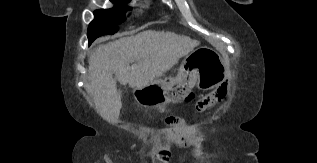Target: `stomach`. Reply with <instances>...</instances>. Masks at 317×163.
Wrapping results in <instances>:
<instances>
[{
  "mask_svg": "<svg viewBox=\"0 0 317 163\" xmlns=\"http://www.w3.org/2000/svg\"><path fill=\"white\" fill-rule=\"evenodd\" d=\"M227 72L225 63L216 51L200 47L182 63L175 78L140 89L135 99L139 105L148 108L182 102L195 85L202 90L219 86L226 79Z\"/></svg>",
  "mask_w": 317,
  "mask_h": 163,
  "instance_id": "stomach-1",
  "label": "stomach"
}]
</instances>
